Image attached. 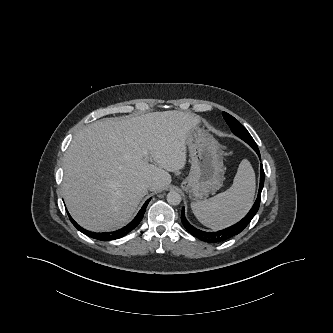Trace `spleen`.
Listing matches in <instances>:
<instances>
[{"instance_id":"obj_1","label":"spleen","mask_w":333,"mask_h":333,"mask_svg":"<svg viewBox=\"0 0 333 333\" xmlns=\"http://www.w3.org/2000/svg\"><path fill=\"white\" fill-rule=\"evenodd\" d=\"M255 194V173L246 159L239 164L232 186L203 201L191 203L196 218L212 229L228 227L243 218L252 206Z\"/></svg>"}]
</instances>
